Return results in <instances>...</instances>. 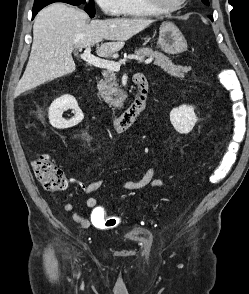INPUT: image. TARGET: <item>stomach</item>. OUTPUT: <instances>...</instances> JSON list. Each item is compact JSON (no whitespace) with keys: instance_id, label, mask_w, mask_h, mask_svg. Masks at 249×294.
Listing matches in <instances>:
<instances>
[{"instance_id":"obj_1","label":"stomach","mask_w":249,"mask_h":294,"mask_svg":"<svg viewBox=\"0 0 249 294\" xmlns=\"http://www.w3.org/2000/svg\"><path fill=\"white\" fill-rule=\"evenodd\" d=\"M158 44L168 54H179L187 50L185 37L171 22H163L160 25Z\"/></svg>"}]
</instances>
